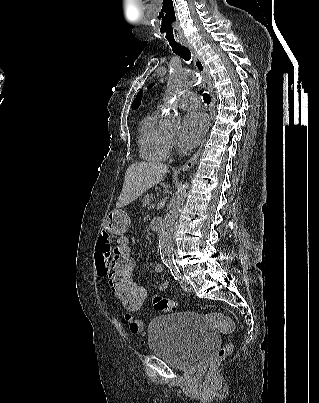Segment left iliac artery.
<instances>
[{"label":"left iliac artery","instance_id":"obj_1","mask_svg":"<svg viewBox=\"0 0 319 403\" xmlns=\"http://www.w3.org/2000/svg\"><path fill=\"white\" fill-rule=\"evenodd\" d=\"M167 267L170 269L172 276L174 277L175 280H179L181 278V273L180 270L178 269L177 265L175 262H171L167 265Z\"/></svg>","mask_w":319,"mask_h":403}]
</instances>
